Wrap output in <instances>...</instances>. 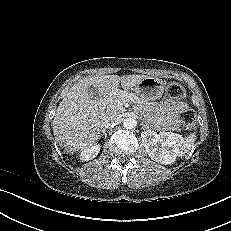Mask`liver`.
Masks as SVG:
<instances>
[{
  "mask_svg": "<svg viewBox=\"0 0 231 231\" xmlns=\"http://www.w3.org/2000/svg\"><path fill=\"white\" fill-rule=\"evenodd\" d=\"M147 75H103L81 79L60 102L53 119V134L67 153L82 151L101 136L103 116L98 104L89 93L94 85L100 94H115L121 84L125 90L136 86Z\"/></svg>",
  "mask_w": 231,
  "mask_h": 231,
  "instance_id": "1",
  "label": "liver"
}]
</instances>
